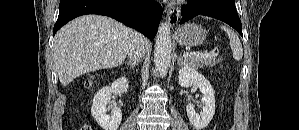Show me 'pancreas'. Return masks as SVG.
Returning a JSON list of instances; mask_svg holds the SVG:
<instances>
[{
    "label": "pancreas",
    "mask_w": 299,
    "mask_h": 130,
    "mask_svg": "<svg viewBox=\"0 0 299 130\" xmlns=\"http://www.w3.org/2000/svg\"><path fill=\"white\" fill-rule=\"evenodd\" d=\"M221 58H216L215 56L208 57H195L188 56L184 59V64L193 67V68H204V67H213L216 63L221 62Z\"/></svg>",
    "instance_id": "pancreas-1"
}]
</instances>
